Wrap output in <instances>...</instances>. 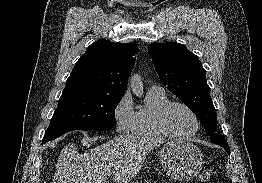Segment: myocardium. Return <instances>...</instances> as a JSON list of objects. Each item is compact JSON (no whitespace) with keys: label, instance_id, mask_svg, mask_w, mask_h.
I'll return each instance as SVG.
<instances>
[{"label":"myocardium","instance_id":"1","mask_svg":"<svg viewBox=\"0 0 262 183\" xmlns=\"http://www.w3.org/2000/svg\"><path fill=\"white\" fill-rule=\"evenodd\" d=\"M175 107H182V108L186 109L194 117L195 122H196V127L192 132L186 133V134H181V133L175 132L170 127V125L168 123V117H169V114L172 111V109L175 108ZM158 122H159L160 129L167 136L172 137V138H178V139H187V138H191V137L195 136L199 132L200 126H201L200 118H199L198 114L195 112V110L192 107H190L188 104H186L184 102H178V101H171L162 109V111L160 112L159 118H158Z\"/></svg>","mask_w":262,"mask_h":183}]
</instances>
